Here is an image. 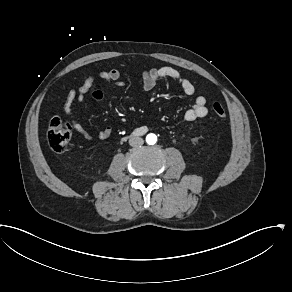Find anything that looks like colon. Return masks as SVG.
Returning <instances> with one entry per match:
<instances>
[{
	"label": "colon",
	"instance_id": "colon-1",
	"mask_svg": "<svg viewBox=\"0 0 292 292\" xmlns=\"http://www.w3.org/2000/svg\"><path fill=\"white\" fill-rule=\"evenodd\" d=\"M213 113L220 119L226 118V111L220 102L212 104ZM71 125L60 117H53L47 132V142L52 152L61 154L65 151L71 139Z\"/></svg>",
	"mask_w": 292,
	"mask_h": 292
}]
</instances>
